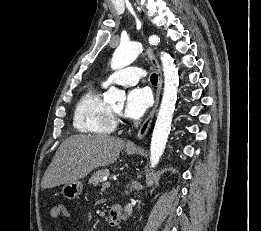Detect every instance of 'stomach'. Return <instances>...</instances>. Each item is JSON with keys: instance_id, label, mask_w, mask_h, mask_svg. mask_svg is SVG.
Listing matches in <instances>:
<instances>
[{"instance_id": "1", "label": "stomach", "mask_w": 261, "mask_h": 231, "mask_svg": "<svg viewBox=\"0 0 261 231\" xmlns=\"http://www.w3.org/2000/svg\"><path fill=\"white\" fill-rule=\"evenodd\" d=\"M136 149H126V153L128 155H133L135 154ZM83 184L81 181L77 180L75 182L71 183H66L64 184L62 188V194L64 195L65 198L67 199H75L77 198L81 192H82Z\"/></svg>"}]
</instances>
